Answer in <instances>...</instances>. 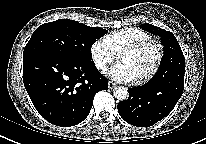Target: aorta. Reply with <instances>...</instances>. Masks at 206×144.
<instances>
[{
  "mask_svg": "<svg viewBox=\"0 0 206 144\" xmlns=\"http://www.w3.org/2000/svg\"><path fill=\"white\" fill-rule=\"evenodd\" d=\"M113 95L118 100H126L129 96L127 88L123 86L116 87L113 91Z\"/></svg>",
  "mask_w": 206,
  "mask_h": 144,
  "instance_id": "aorta-1",
  "label": "aorta"
}]
</instances>
